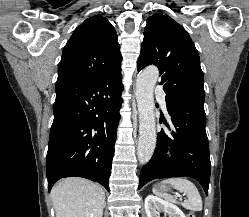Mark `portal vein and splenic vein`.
<instances>
[{"label":"portal vein and splenic vein","instance_id":"1","mask_svg":"<svg viewBox=\"0 0 249 217\" xmlns=\"http://www.w3.org/2000/svg\"><path fill=\"white\" fill-rule=\"evenodd\" d=\"M177 196H178L179 198H182V196H181V195H179V194H178Z\"/></svg>","mask_w":249,"mask_h":217}]
</instances>
